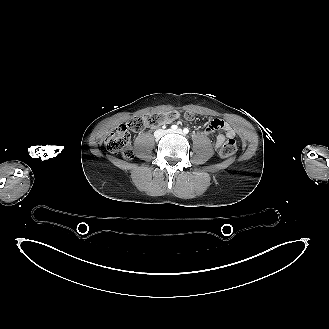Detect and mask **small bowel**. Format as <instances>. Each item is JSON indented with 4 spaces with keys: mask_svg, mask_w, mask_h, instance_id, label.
Instances as JSON below:
<instances>
[{
    "mask_svg": "<svg viewBox=\"0 0 329 329\" xmlns=\"http://www.w3.org/2000/svg\"><path fill=\"white\" fill-rule=\"evenodd\" d=\"M215 131H218L219 133V136H217L214 142L215 147L221 146L226 138L227 139L234 138L236 135L234 129L227 122L219 119L212 120L208 124L205 133L207 135H210Z\"/></svg>",
    "mask_w": 329,
    "mask_h": 329,
    "instance_id": "c3829d8e",
    "label": "small bowel"
}]
</instances>
